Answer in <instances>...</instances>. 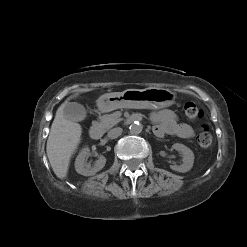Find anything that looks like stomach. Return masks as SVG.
Here are the masks:
<instances>
[{
    "label": "stomach",
    "mask_w": 247,
    "mask_h": 247,
    "mask_svg": "<svg viewBox=\"0 0 247 247\" xmlns=\"http://www.w3.org/2000/svg\"><path fill=\"white\" fill-rule=\"evenodd\" d=\"M176 94L169 89L150 87L107 93L99 97L97 106L101 112L118 108L161 109L174 104Z\"/></svg>",
    "instance_id": "obj_1"
}]
</instances>
